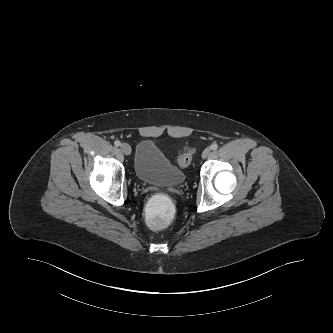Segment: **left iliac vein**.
Instances as JSON below:
<instances>
[{
	"label": "left iliac vein",
	"instance_id": "obj_1",
	"mask_svg": "<svg viewBox=\"0 0 333 333\" xmlns=\"http://www.w3.org/2000/svg\"><path fill=\"white\" fill-rule=\"evenodd\" d=\"M211 153V149L210 148H206L203 153H202V157L203 158H207Z\"/></svg>",
	"mask_w": 333,
	"mask_h": 333
}]
</instances>
